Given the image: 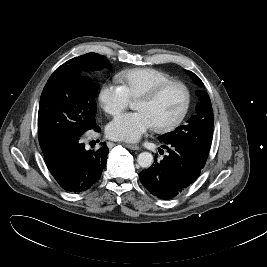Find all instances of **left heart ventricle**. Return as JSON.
I'll list each match as a JSON object with an SVG mask.
<instances>
[{
	"mask_svg": "<svg viewBox=\"0 0 267 267\" xmlns=\"http://www.w3.org/2000/svg\"><path fill=\"white\" fill-rule=\"evenodd\" d=\"M185 103V94L181 87L173 86L165 90L151 102L135 101L133 108L144 113L152 127L171 122L177 117Z\"/></svg>",
	"mask_w": 267,
	"mask_h": 267,
	"instance_id": "obj_1",
	"label": "left heart ventricle"
}]
</instances>
